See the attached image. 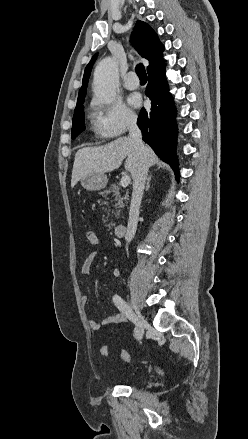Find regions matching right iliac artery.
Listing matches in <instances>:
<instances>
[{
	"mask_svg": "<svg viewBox=\"0 0 248 439\" xmlns=\"http://www.w3.org/2000/svg\"><path fill=\"white\" fill-rule=\"evenodd\" d=\"M115 306L134 324H137V318L128 304L118 295L113 296Z\"/></svg>",
	"mask_w": 248,
	"mask_h": 439,
	"instance_id": "82829eb1",
	"label": "right iliac artery"
}]
</instances>
